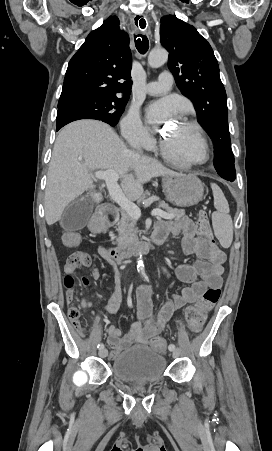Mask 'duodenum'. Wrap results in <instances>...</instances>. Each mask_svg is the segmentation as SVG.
I'll use <instances>...</instances> for the list:
<instances>
[{"mask_svg": "<svg viewBox=\"0 0 272 451\" xmlns=\"http://www.w3.org/2000/svg\"><path fill=\"white\" fill-rule=\"evenodd\" d=\"M118 219V210L112 204L103 205L98 214L91 220L90 229L93 233H101L107 227L114 224ZM162 240L153 237L151 241L148 242H137L131 245H126L118 247L115 249L104 251V254L108 257L122 260L129 258L131 256L137 255L139 253L147 252L152 249L155 245L161 244Z\"/></svg>", "mask_w": 272, "mask_h": 451, "instance_id": "duodenum-1", "label": "duodenum"}]
</instances>
